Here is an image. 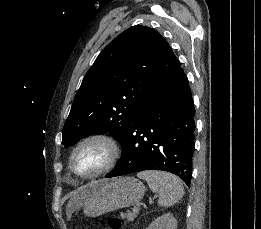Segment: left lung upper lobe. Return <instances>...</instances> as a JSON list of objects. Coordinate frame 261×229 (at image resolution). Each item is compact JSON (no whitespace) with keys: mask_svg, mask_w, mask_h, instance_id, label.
I'll use <instances>...</instances> for the list:
<instances>
[{"mask_svg":"<svg viewBox=\"0 0 261 229\" xmlns=\"http://www.w3.org/2000/svg\"><path fill=\"white\" fill-rule=\"evenodd\" d=\"M180 65L156 30L140 25L125 30L86 73L63 127L62 144L109 132L122 145L149 94Z\"/></svg>","mask_w":261,"mask_h":229,"instance_id":"obj_1","label":"left lung upper lobe"}]
</instances>
